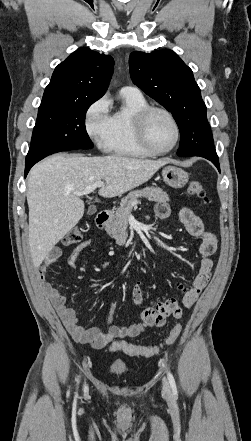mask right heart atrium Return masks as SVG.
<instances>
[{
    "instance_id": "obj_1",
    "label": "right heart atrium",
    "mask_w": 251,
    "mask_h": 441,
    "mask_svg": "<svg viewBox=\"0 0 251 441\" xmlns=\"http://www.w3.org/2000/svg\"><path fill=\"white\" fill-rule=\"evenodd\" d=\"M84 126L90 139L99 148L105 149L110 126L109 102L105 97L97 99L88 107Z\"/></svg>"
}]
</instances>
